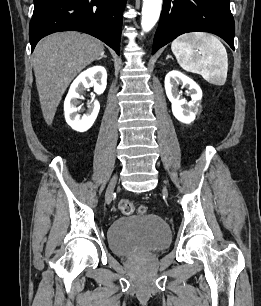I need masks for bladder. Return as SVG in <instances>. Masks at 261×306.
I'll return each instance as SVG.
<instances>
[{"mask_svg": "<svg viewBox=\"0 0 261 306\" xmlns=\"http://www.w3.org/2000/svg\"><path fill=\"white\" fill-rule=\"evenodd\" d=\"M111 251L127 256L140 251H157L171 241L168 224L153 214H138L117 218L107 232Z\"/></svg>", "mask_w": 261, "mask_h": 306, "instance_id": "obj_1", "label": "bladder"}]
</instances>
